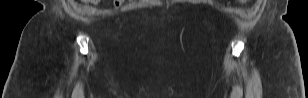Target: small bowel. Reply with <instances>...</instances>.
Instances as JSON below:
<instances>
[{
	"label": "small bowel",
	"mask_w": 308,
	"mask_h": 98,
	"mask_svg": "<svg viewBox=\"0 0 308 98\" xmlns=\"http://www.w3.org/2000/svg\"><path fill=\"white\" fill-rule=\"evenodd\" d=\"M94 6H98L99 5V1L98 0H91L90 1ZM123 3V0H117L115 1V5L119 6Z\"/></svg>",
	"instance_id": "c3829d8e"
}]
</instances>
